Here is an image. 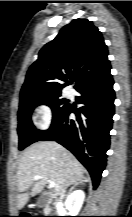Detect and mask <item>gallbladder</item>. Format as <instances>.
Segmentation results:
<instances>
[{
    "label": "gallbladder",
    "instance_id": "obj_1",
    "mask_svg": "<svg viewBox=\"0 0 132 217\" xmlns=\"http://www.w3.org/2000/svg\"><path fill=\"white\" fill-rule=\"evenodd\" d=\"M48 199H49V196H47V195L40 197L37 200V206L38 207H44L47 204Z\"/></svg>",
    "mask_w": 132,
    "mask_h": 217
}]
</instances>
